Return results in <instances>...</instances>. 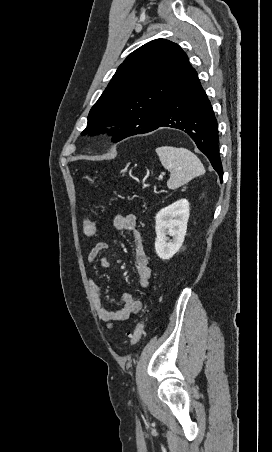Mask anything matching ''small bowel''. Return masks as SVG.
I'll return each instance as SVG.
<instances>
[{
    "label": "small bowel",
    "instance_id": "1",
    "mask_svg": "<svg viewBox=\"0 0 272 452\" xmlns=\"http://www.w3.org/2000/svg\"><path fill=\"white\" fill-rule=\"evenodd\" d=\"M114 227L117 230L129 233L134 244L137 286L140 289H147L150 285L152 272L149 266L148 256L145 250L142 235L137 228L136 216L131 213H118L114 218ZM108 248L109 244L107 242H97L88 253V263H93L99 259V262L103 267L110 266V259L101 256V253L106 251ZM89 286L97 314L109 327L128 321L133 315L139 313L143 308V302L141 300L134 298L130 294H125L122 298V308L115 311L106 304L104 299V287L100 283L94 279H91L89 281Z\"/></svg>",
    "mask_w": 272,
    "mask_h": 452
}]
</instances>
